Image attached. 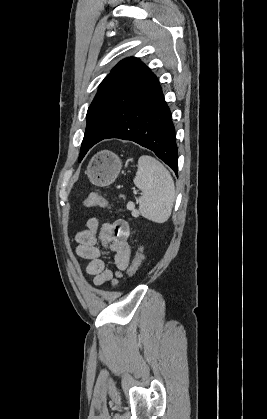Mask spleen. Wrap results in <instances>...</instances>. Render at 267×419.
<instances>
[{"mask_svg": "<svg viewBox=\"0 0 267 419\" xmlns=\"http://www.w3.org/2000/svg\"><path fill=\"white\" fill-rule=\"evenodd\" d=\"M134 184L142 191L137 199L140 214L155 223H164L171 216L175 201V185L170 172L149 155L138 160Z\"/></svg>", "mask_w": 267, "mask_h": 419, "instance_id": "1", "label": "spleen"}]
</instances>
